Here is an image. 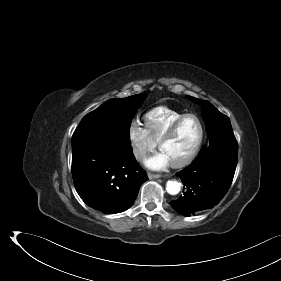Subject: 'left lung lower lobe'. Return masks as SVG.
I'll return each mask as SVG.
<instances>
[{"label": "left lung lower lobe", "instance_id": "left-lung-lower-lobe-1", "mask_svg": "<svg viewBox=\"0 0 281 281\" xmlns=\"http://www.w3.org/2000/svg\"><path fill=\"white\" fill-rule=\"evenodd\" d=\"M238 149H204L199 157L176 175L183 195L170 204L178 213L191 216L218 204L227 193L236 169Z\"/></svg>", "mask_w": 281, "mask_h": 281}]
</instances>
